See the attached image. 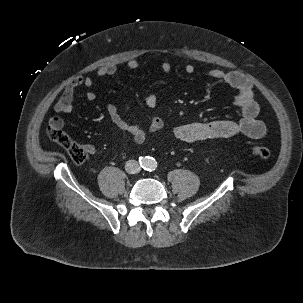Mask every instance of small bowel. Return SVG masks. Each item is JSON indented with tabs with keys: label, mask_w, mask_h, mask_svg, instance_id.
<instances>
[{
	"label": "small bowel",
	"mask_w": 303,
	"mask_h": 303,
	"mask_svg": "<svg viewBox=\"0 0 303 303\" xmlns=\"http://www.w3.org/2000/svg\"><path fill=\"white\" fill-rule=\"evenodd\" d=\"M127 67L135 70L139 67V62L135 59H130L126 63ZM164 73L171 71V65L164 62L161 66ZM187 74L194 72V66L187 64L184 67ZM117 72V66L113 63L101 66L98 68L96 75L99 78H105L114 75ZM209 76L229 88L236 93L235 104L240 111V119L234 120H215L210 122H196L177 126L174 128V136L187 143L203 141L215 138H228L236 134H243L252 139H259L266 133L265 124L258 119L259 106L254 100L253 86L251 82L238 72H225L220 69L209 71ZM94 84V78L76 77L70 81L64 88L60 98L54 105V111L58 114H69L73 111V99L75 91L78 87L90 88ZM88 101H94L96 94L93 91L86 93ZM145 103L149 108H154L157 104V96L154 92H149L145 96ZM106 110L110 120L118 128L127 131L131 134L136 143H142L146 140L148 134L155 133L163 128L164 122L159 116L151 117L148 129L140 126L129 124L119 113L114 104H107ZM50 125L63 127L64 121L60 116H53L50 119ZM89 154L95 152V148L91 144L85 146Z\"/></svg>",
	"instance_id": "small-bowel-1"
}]
</instances>
